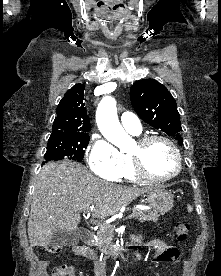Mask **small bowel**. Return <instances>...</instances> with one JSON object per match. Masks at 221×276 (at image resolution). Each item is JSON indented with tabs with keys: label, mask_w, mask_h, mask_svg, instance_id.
Masks as SVG:
<instances>
[{
	"label": "small bowel",
	"mask_w": 221,
	"mask_h": 276,
	"mask_svg": "<svg viewBox=\"0 0 221 276\" xmlns=\"http://www.w3.org/2000/svg\"><path fill=\"white\" fill-rule=\"evenodd\" d=\"M136 242L137 238L134 239ZM147 246L155 249V254L152 262L160 261H177L179 258V250L176 247L167 245L161 240H152L147 243ZM74 252L80 257H85L93 262L95 276H105V263L102 260L96 259L94 253L87 247L75 246Z\"/></svg>",
	"instance_id": "c3829d8e"
}]
</instances>
